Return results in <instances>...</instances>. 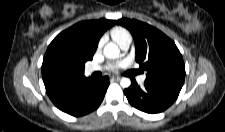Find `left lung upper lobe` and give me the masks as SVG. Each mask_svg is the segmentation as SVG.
<instances>
[{
	"label": "left lung upper lobe",
	"mask_w": 225,
	"mask_h": 132,
	"mask_svg": "<svg viewBox=\"0 0 225 132\" xmlns=\"http://www.w3.org/2000/svg\"><path fill=\"white\" fill-rule=\"evenodd\" d=\"M116 24L127 28L135 41L136 61L146 80L183 84L185 65L175 43L155 27L135 19L122 18Z\"/></svg>",
	"instance_id": "left-lung-upper-lobe-1"
}]
</instances>
